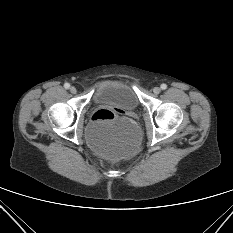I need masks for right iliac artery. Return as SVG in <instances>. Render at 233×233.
Returning <instances> with one entry per match:
<instances>
[{"instance_id":"82829eb1","label":"right iliac artery","mask_w":233,"mask_h":233,"mask_svg":"<svg viewBox=\"0 0 233 233\" xmlns=\"http://www.w3.org/2000/svg\"><path fill=\"white\" fill-rule=\"evenodd\" d=\"M64 87H65V89H69L70 88V84L69 83H65Z\"/></svg>"}]
</instances>
